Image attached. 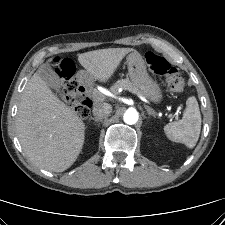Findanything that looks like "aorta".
I'll return each mask as SVG.
<instances>
[{"label":"aorta","mask_w":225,"mask_h":225,"mask_svg":"<svg viewBox=\"0 0 225 225\" xmlns=\"http://www.w3.org/2000/svg\"><path fill=\"white\" fill-rule=\"evenodd\" d=\"M139 115L136 109L129 108L123 115V120L126 124L133 125L138 121Z\"/></svg>","instance_id":"762f6f07"}]
</instances>
